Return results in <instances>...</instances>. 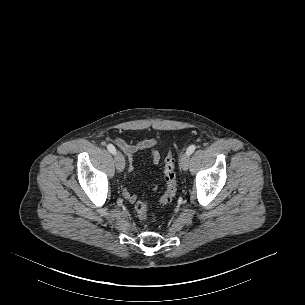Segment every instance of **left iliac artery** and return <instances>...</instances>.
Returning <instances> with one entry per match:
<instances>
[{
  "label": "left iliac artery",
  "mask_w": 305,
  "mask_h": 305,
  "mask_svg": "<svg viewBox=\"0 0 305 305\" xmlns=\"http://www.w3.org/2000/svg\"><path fill=\"white\" fill-rule=\"evenodd\" d=\"M196 149V146L195 145H191L188 147L186 153H188L189 155L192 154Z\"/></svg>",
  "instance_id": "44dca946"
}]
</instances>
